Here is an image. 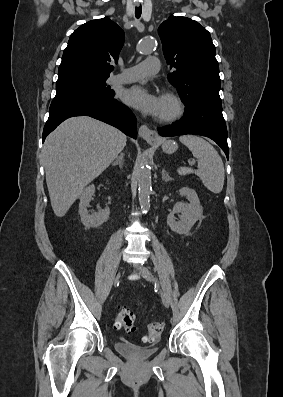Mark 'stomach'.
I'll list each match as a JSON object with an SVG mask.
<instances>
[{"instance_id":"stomach-1","label":"stomach","mask_w":283,"mask_h":397,"mask_svg":"<svg viewBox=\"0 0 283 397\" xmlns=\"http://www.w3.org/2000/svg\"><path fill=\"white\" fill-rule=\"evenodd\" d=\"M165 153L172 154L178 149V145L174 140H164L161 144Z\"/></svg>"}]
</instances>
